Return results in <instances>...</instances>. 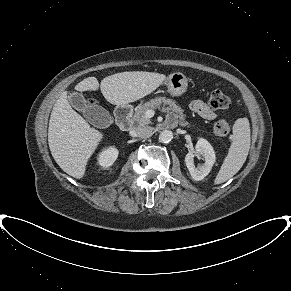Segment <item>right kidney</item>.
<instances>
[{
    "instance_id": "1",
    "label": "right kidney",
    "mask_w": 291,
    "mask_h": 291,
    "mask_svg": "<svg viewBox=\"0 0 291 291\" xmlns=\"http://www.w3.org/2000/svg\"><path fill=\"white\" fill-rule=\"evenodd\" d=\"M118 157V150L115 147H110L103 150L98 156L100 166L107 168L111 166Z\"/></svg>"
}]
</instances>
